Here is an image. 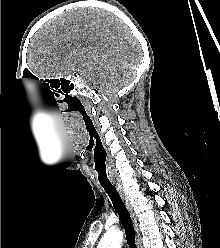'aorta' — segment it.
Segmentation results:
<instances>
[{"instance_id": "1", "label": "aorta", "mask_w": 220, "mask_h": 248, "mask_svg": "<svg viewBox=\"0 0 220 248\" xmlns=\"http://www.w3.org/2000/svg\"><path fill=\"white\" fill-rule=\"evenodd\" d=\"M123 233L120 230L108 231L101 239L97 248H120Z\"/></svg>"}]
</instances>
